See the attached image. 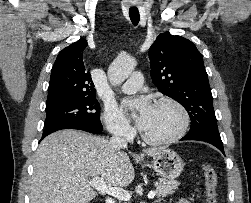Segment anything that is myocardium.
<instances>
[{
    "instance_id": "obj_1",
    "label": "myocardium",
    "mask_w": 251,
    "mask_h": 203,
    "mask_svg": "<svg viewBox=\"0 0 251 203\" xmlns=\"http://www.w3.org/2000/svg\"><path fill=\"white\" fill-rule=\"evenodd\" d=\"M162 105H171L176 108L181 116V124L178 130L171 136L162 138V139H154L147 136L143 131L140 132V136L144 142L150 145H168L172 144L182 137L185 136L189 125H190V116L187 109L177 100L173 98H162L155 102L154 106H162Z\"/></svg>"
}]
</instances>
